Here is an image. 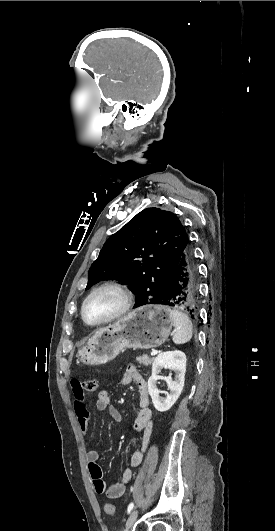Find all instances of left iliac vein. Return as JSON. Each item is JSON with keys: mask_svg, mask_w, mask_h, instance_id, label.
<instances>
[{"mask_svg": "<svg viewBox=\"0 0 275 531\" xmlns=\"http://www.w3.org/2000/svg\"><path fill=\"white\" fill-rule=\"evenodd\" d=\"M137 516H138V510L135 509L131 512V514L129 515L128 519H127V522H126V529H130L132 528V526L134 525V523L136 522L137 520Z\"/></svg>", "mask_w": 275, "mask_h": 531, "instance_id": "obj_1", "label": "left iliac vein"}]
</instances>
